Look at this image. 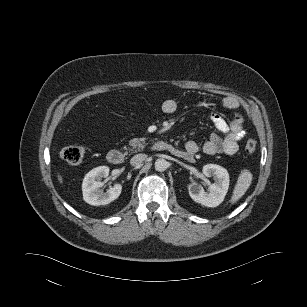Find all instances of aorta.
I'll use <instances>...</instances> for the list:
<instances>
[{"mask_svg":"<svg viewBox=\"0 0 307 307\" xmlns=\"http://www.w3.org/2000/svg\"><path fill=\"white\" fill-rule=\"evenodd\" d=\"M168 166L169 163L163 158L157 159L155 161V169L159 172L165 171L168 168Z\"/></svg>","mask_w":307,"mask_h":307,"instance_id":"1","label":"aorta"}]
</instances>
